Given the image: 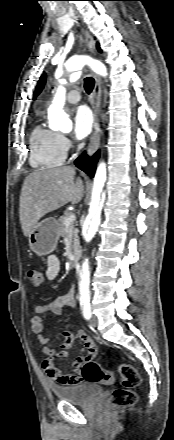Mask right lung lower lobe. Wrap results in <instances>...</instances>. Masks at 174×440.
Masks as SVG:
<instances>
[{
  "instance_id": "right-lung-lower-lobe-1",
  "label": "right lung lower lobe",
  "mask_w": 174,
  "mask_h": 440,
  "mask_svg": "<svg viewBox=\"0 0 174 440\" xmlns=\"http://www.w3.org/2000/svg\"><path fill=\"white\" fill-rule=\"evenodd\" d=\"M100 152H96L95 155L91 158H89L86 154H83L82 156L78 157L75 160V165L86 172L90 177L94 176L96 164L99 158Z\"/></svg>"
}]
</instances>
